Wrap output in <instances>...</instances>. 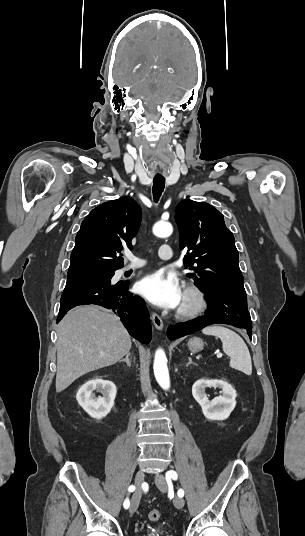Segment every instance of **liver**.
Wrapping results in <instances>:
<instances>
[{
	"mask_svg": "<svg viewBox=\"0 0 305 536\" xmlns=\"http://www.w3.org/2000/svg\"><path fill=\"white\" fill-rule=\"evenodd\" d=\"M56 392L80 376L112 366L132 342L122 322L100 306H78L58 324Z\"/></svg>",
	"mask_w": 305,
	"mask_h": 536,
	"instance_id": "obj_1",
	"label": "liver"
}]
</instances>
